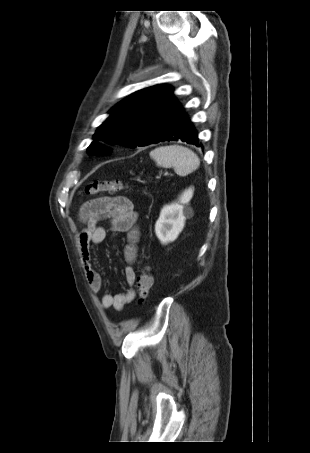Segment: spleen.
Masks as SVG:
<instances>
[{
    "label": "spleen",
    "mask_w": 310,
    "mask_h": 453,
    "mask_svg": "<svg viewBox=\"0 0 310 453\" xmlns=\"http://www.w3.org/2000/svg\"><path fill=\"white\" fill-rule=\"evenodd\" d=\"M150 157L156 165L163 168L173 167L176 174L186 176L200 165V159L191 149L180 145H169L155 148Z\"/></svg>",
    "instance_id": "1"
}]
</instances>
